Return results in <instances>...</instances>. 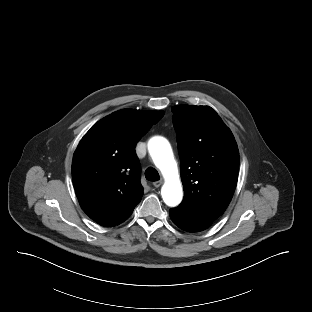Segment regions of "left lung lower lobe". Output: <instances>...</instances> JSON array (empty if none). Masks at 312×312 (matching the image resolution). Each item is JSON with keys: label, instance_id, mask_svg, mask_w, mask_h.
Returning <instances> with one entry per match:
<instances>
[{"label": "left lung lower lobe", "instance_id": "1", "mask_svg": "<svg viewBox=\"0 0 312 312\" xmlns=\"http://www.w3.org/2000/svg\"><path fill=\"white\" fill-rule=\"evenodd\" d=\"M169 214L178 227L189 232L202 231L212 224V222L196 218L178 208L170 209Z\"/></svg>", "mask_w": 312, "mask_h": 312}]
</instances>
